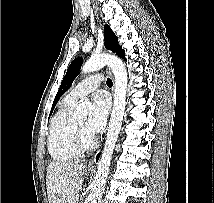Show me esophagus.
<instances>
[{
  "mask_svg": "<svg viewBox=\"0 0 214 203\" xmlns=\"http://www.w3.org/2000/svg\"><path fill=\"white\" fill-rule=\"evenodd\" d=\"M107 71H108V73L110 74V76H111L112 79H113V75H112V72L110 71V69H108ZM95 156H96V154H95ZM95 156H94V157H95ZM88 166H89V167H93V166H94V158H92V159L89 161Z\"/></svg>",
  "mask_w": 214,
  "mask_h": 203,
  "instance_id": "obj_1",
  "label": "esophagus"
}]
</instances>
